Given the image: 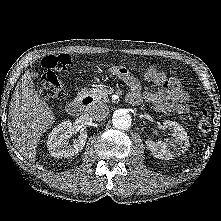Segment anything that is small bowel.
<instances>
[{"label": "small bowel", "mask_w": 221, "mask_h": 221, "mask_svg": "<svg viewBox=\"0 0 221 221\" xmlns=\"http://www.w3.org/2000/svg\"><path fill=\"white\" fill-rule=\"evenodd\" d=\"M110 72L123 80L131 89L128 95V101L132 104H140L142 101L148 102L154 106L157 112H176L180 114L187 113L189 110L186 101L188 93L183 88L180 81L174 77L168 78L163 72H158L161 79L150 78L145 73L144 78L149 82H154L161 86L158 91H141V83L129 70L124 67H112Z\"/></svg>", "instance_id": "small-bowel-1"}]
</instances>
